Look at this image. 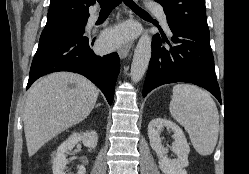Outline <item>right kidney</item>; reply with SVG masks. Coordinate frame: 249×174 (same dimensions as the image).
I'll list each match as a JSON object with an SVG mask.
<instances>
[{"instance_id": "ca27d5eb", "label": "right kidney", "mask_w": 249, "mask_h": 174, "mask_svg": "<svg viewBox=\"0 0 249 174\" xmlns=\"http://www.w3.org/2000/svg\"><path fill=\"white\" fill-rule=\"evenodd\" d=\"M82 141L83 145L94 149L97 146L98 136L95 131H86L82 133H73L66 141H64L57 149L55 157L52 161L53 174H65L64 170L68 164L66 154L70 152L75 145ZM77 174H86L83 165L78 167Z\"/></svg>"}]
</instances>
